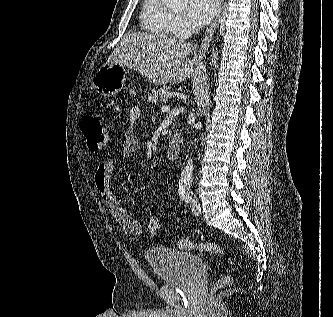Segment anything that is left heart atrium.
I'll list each match as a JSON object with an SVG mask.
<instances>
[{
	"mask_svg": "<svg viewBox=\"0 0 333 317\" xmlns=\"http://www.w3.org/2000/svg\"><path fill=\"white\" fill-rule=\"evenodd\" d=\"M217 8V0H189L187 18L194 26H203L214 17Z\"/></svg>",
	"mask_w": 333,
	"mask_h": 317,
	"instance_id": "39dd6f15",
	"label": "left heart atrium"
}]
</instances>
